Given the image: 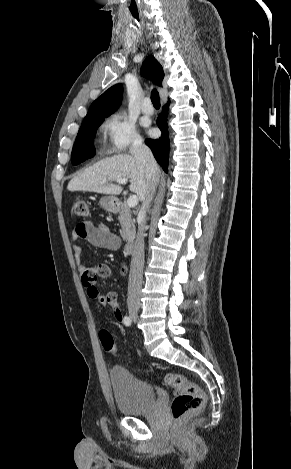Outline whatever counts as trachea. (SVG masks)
Segmentation results:
<instances>
[{
	"label": "trachea",
	"mask_w": 291,
	"mask_h": 469,
	"mask_svg": "<svg viewBox=\"0 0 291 469\" xmlns=\"http://www.w3.org/2000/svg\"><path fill=\"white\" fill-rule=\"evenodd\" d=\"M151 101H152V104H153L154 107H156V108L160 107L159 93L155 89L151 92Z\"/></svg>",
	"instance_id": "3493384b"
}]
</instances>
